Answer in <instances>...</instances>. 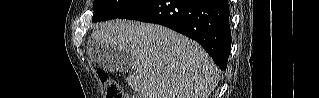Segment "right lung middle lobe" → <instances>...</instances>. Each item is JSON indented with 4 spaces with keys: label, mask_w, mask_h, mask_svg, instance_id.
Here are the masks:
<instances>
[{
    "label": "right lung middle lobe",
    "mask_w": 319,
    "mask_h": 98,
    "mask_svg": "<svg viewBox=\"0 0 319 98\" xmlns=\"http://www.w3.org/2000/svg\"><path fill=\"white\" fill-rule=\"evenodd\" d=\"M146 0H94V22L118 18Z\"/></svg>",
    "instance_id": "1"
}]
</instances>
